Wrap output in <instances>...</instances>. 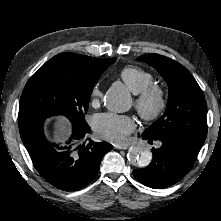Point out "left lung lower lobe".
<instances>
[{"mask_svg":"<svg viewBox=\"0 0 221 221\" xmlns=\"http://www.w3.org/2000/svg\"><path fill=\"white\" fill-rule=\"evenodd\" d=\"M145 140H152L142 134ZM160 148L152 149L153 160L143 169L134 170V177L145 186L160 189L180 181L193 167L201 148L177 139H160Z\"/></svg>","mask_w":221,"mask_h":221,"instance_id":"0a47b994","label":"left lung lower lobe"}]
</instances>
